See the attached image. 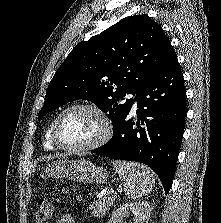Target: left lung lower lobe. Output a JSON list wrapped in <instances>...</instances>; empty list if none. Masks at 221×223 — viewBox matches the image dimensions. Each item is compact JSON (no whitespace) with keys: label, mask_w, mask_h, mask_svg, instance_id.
Returning a JSON list of instances; mask_svg holds the SVG:
<instances>
[{"label":"left lung lower lobe","mask_w":221,"mask_h":223,"mask_svg":"<svg viewBox=\"0 0 221 223\" xmlns=\"http://www.w3.org/2000/svg\"><path fill=\"white\" fill-rule=\"evenodd\" d=\"M135 99L137 122L128 117L130 107L112 138L91 152L148 165L159 176L168 194L187 113L183 74L171 44L162 66Z\"/></svg>","instance_id":"obj_1"}]
</instances>
